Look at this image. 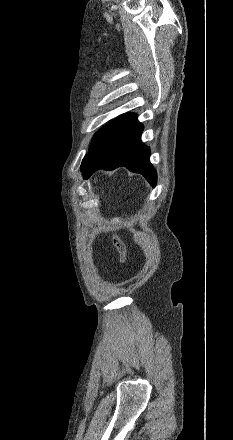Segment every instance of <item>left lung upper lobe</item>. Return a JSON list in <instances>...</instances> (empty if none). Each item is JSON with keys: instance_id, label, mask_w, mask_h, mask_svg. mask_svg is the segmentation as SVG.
<instances>
[{"instance_id": "obj_1", "label": "left lung upper lobe", "mask_w": 233, "mask_h": 440, "mask_svg": "<svg viewBox=\"0 0 233 440\" xmlns=\"http://www.w3.org/2000/svg\"><path fill=\"white\" fill-rule=\"evenodd\" d=\"M111 121H109L108 123H107V125L110 123ZM107 125L106 126H104V127H102L95 135H94V137H93V139H92V142H91V146H90V149H91V147L94 145V143L97 141V139L99 138V136L102 134V132L104 131V129L107 127ZM86 157V156H85ZM84 157V158H85Z\"/></svg>"}]
</instances>
